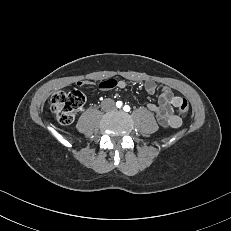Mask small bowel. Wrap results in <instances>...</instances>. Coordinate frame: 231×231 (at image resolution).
I'll use <instances>...</instances> for the list:
<instances>
[{
    "mask_svg": "<svg viewBox=\"0 0 231 231\" xmlns=\"http://www.w3.org/2000/svg\"><path fill=\"white\" fill-rule=\"evenodd\" d=\"M82 83H79L81 85ZM100 86L103 89L119 88L124 89L126 84L122 80L107 79L101 82ZM145 90L153 95L157 89L161 88V94L158 99V104L147 103V108L153 112L163 127L178 128L181 125V118L175 113L174 109L179 108L182 97L173 93L167 86H159L154 81H146L144 84Z\"/></svg>",
    "mask_w": 231,
    "mask_h": 231,
    "instance_id": "small-bowel-1",
    "label": "small bowel"
}]
</instances>
